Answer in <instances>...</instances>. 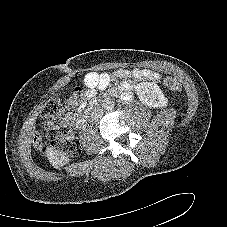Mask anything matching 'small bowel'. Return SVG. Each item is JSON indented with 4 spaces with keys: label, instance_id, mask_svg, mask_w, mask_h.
I'll return each mask as SVG.
<instances>
[{
    "label": "small bowel",
    "instance_id": "small-bowel-1",
    "mask_svg": "<svg viewBox=\"0 0 227 227\" xmlns=\"http://www.w3.org/2000/svg\"><path fill=\"white\" fill-rule=\"evenodd\" d=\"M133 78L137 81L142 80H158L160 75L149 69H132L125 70L119 69L113 73H98L95 71L87 72L84 76V84L86 86V91L84 94V99L79 103L77 110L78 112L82 111L86 105V100L92 99L96 94V89H103L110 85L111 82H114L119 79ZM134 88L132 81L124 80L122 81L116 89H112L111 93H116L120 91L125 97L129 95V92ZM70 121L76 125L77 118L75 115L70 116Z\"/></svg>",
    "mask_w": 227,
    "mask_h": 227
}]
</instances>
